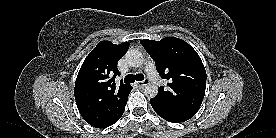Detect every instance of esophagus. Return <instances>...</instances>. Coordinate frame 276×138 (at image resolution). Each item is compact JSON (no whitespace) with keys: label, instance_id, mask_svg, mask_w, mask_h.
I'll use <instances>...</instances> for the list:
<instances>
[{"label":"esophagus","instance_id":"34e87169","mask_svg":"<svg viewBox=\"0 0 276 138\" xmlns=\"http://www.w3.org/2000/svg\"><path fill=\"white\" fill-rule=\"evenodd\" d=\"M137 84H138V86H140V87H145L146 85L149 84V81H148L147 79H145V80H143V81H141V82H138Z\"/></svg>","mask_w":276,"mask_h":138}]
</instances>
